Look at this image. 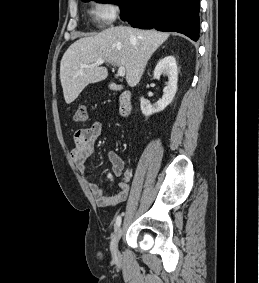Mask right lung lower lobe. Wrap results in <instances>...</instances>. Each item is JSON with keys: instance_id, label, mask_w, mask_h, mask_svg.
<instances>
[{"instance_id": "1", "label": "right lung lower lobe", "mask_w": 259, "mask_h": 283, "mask_svg": "<svg viewBox=\"0 0 259 283\" xmlns=\"http://www.w3.org/2000/svg\"><path fill=\"white\" fill-rule=\"evenodd\" d=\"M120 17L132 27L199 38V0H121Z\"/></svg>"}]
</instances>
